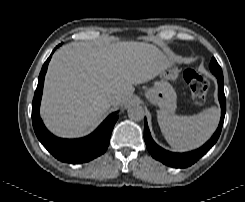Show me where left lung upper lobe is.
I'll return each mask as SVG.
<instances>
[{"instance_id": "5c2ea615", "label": "left lung upper lobe", "mask_w": 245, "mask_h": 202, "mask_svg": "<svg viewBox=\"0 0 245 202\" xmlns=\"http://www.w3.org/2000/svg\"><path fill=\"white\" fill-rule=\"evenodd\" d=\"M209 68H210V71L215 76H223L222 69L214 57L212 58V60L210 62Z\"/></svg>"}]
</instances>
